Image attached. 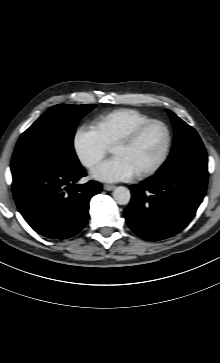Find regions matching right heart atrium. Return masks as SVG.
<instances>
[{
	"label": "right heart atrium",
	"instance_id": "d8ad5b80",
	"mask_svg": "<svg viewBox=\"0 0 220 363\" xmlns=\"http://www.w3.org/2000/svg\"><path fill=\"white\" fill-rule=\"evenodd\" d=\"M72 144L77 159L86 168L97 165L109 151L97 129L87 124L75 129Z\"/></svg>",
	"mask_w": 220,
	"mask_h": 363
}]
</instances>
